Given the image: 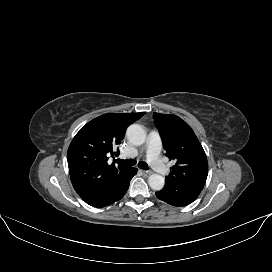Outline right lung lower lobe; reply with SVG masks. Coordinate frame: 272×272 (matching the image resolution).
Segmentation results:
<instances>
[{
  "instance_id": "1",
  "label": "right lung lower lobe",
  "mask_w": 272,
  "mask_h": 272,
  "mask_svg": "<svg viewBox=\"0 0 272 272\" xmlns=\"http://www.w3.org/2000/svg\"><path fill=\"white\" fill-rule=\"evenodd\" d=\"M137 173L136 168H127L121 171L115 178L101 189L95 191L83 200L97 208H102L120 200L129 188L133 176Z\"/></svg>"
}]
</instances>
